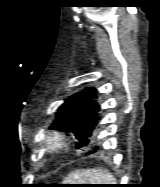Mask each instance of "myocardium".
Instances as JSON below:
<instances>
[{"label":"myocardium","mask_w":160,"mask_h":187,"mask_svg":"<svg viewBox=\"0 0 160 187\" xmlns=\"http://www.w3.org/2000/svg\"><path fill=\"white\" fill-rule=\"evenodd\" d=\"M66 146V137L62 132L50 133L43 142V149L48 155H54Z\"/></svg>","instance_id":"myocardium-1"}]
</instances>
